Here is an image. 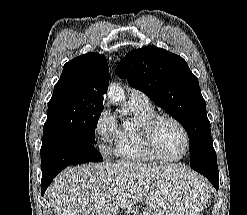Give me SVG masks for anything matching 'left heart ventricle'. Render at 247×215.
Segmentation results:
<instances>
[{
	"mask_svg": "<svg viewBox=\"0 0 247 215\" xmlns=\"http://www.w3.org/2000/svg\"><path fill=\"white\" fill-rule=\"evenodd\" d=\"M156 144L161 154L167 157L180 156L185 148L181 129L171 121H162L156 129Z\"/></svg>",
	"mask_w": 247,
	"mask_h": 215,
	"instance_id": "left-heart-ventricle-1",
	"label": "left heart ventricle"
}]
</instances>
